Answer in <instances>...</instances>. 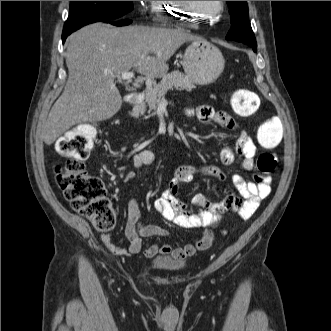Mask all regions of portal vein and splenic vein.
I'll return each mask as SVG.
<instances>
[{
    "instance_id": "18ae733b",
    "label": "portal vein and splenic vein",
    "mask_w": 331,
    "mask_h": 331,
    "mask_svg": "<svg viewBox=\"0 0 331 331\" xmlns=\"http://www.w3.org/2000/svg\"><path fill=\"white\" fill-rule=\"evenodd\" d=\"M133 77H134V72H124V73L121 74V76H119V79H121V80H131ZM133 85L136 88H139L140 87L138 81H135L133 83Z\"/></svg>"
}]
</instances>
